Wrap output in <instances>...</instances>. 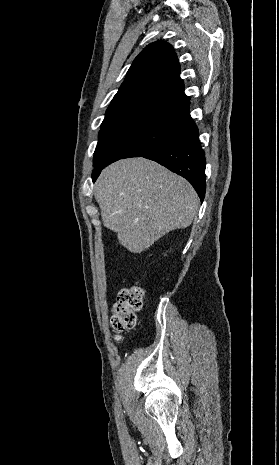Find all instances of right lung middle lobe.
<instances>
[{
    "mask_svg": "<svg viewBox=\"0 0 279 465\" xmlns=\"http://www.w3.org/2000/svg\"><path fill=\"white\" fill-rule=\"evenodd\" d=\"M179 129L180 125L145 121L101 127L94 152V169L123 158L143 157L168 143Z\"/></svg>",
    "mask_w": 279,
    "mask_h": 465,
    "instance_id": "right-lung-middle-lobe-1",
    "label": "right lung middle lobe"
}]
</instances>
